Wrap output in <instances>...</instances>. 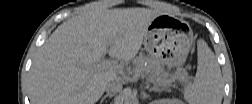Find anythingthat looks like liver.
<instances>
[{
	"label": "liver",
	"mask_w": 252,
	"mask_h": 104,
	"mask_svg": "<svg viewBox=\"0 0 252 104\" xmlns=\"http://www.w3.org/2000/svg\"><path fill=\"white\" fill-rule=\"evenodd\" d=\"M158 10L95 8L64 21L41 46L29 73L35 104H94L118 73L96 65L109 53L132 60Z\"/></svg>",
	"instance_id": "liver-1"
}]
</instances>
